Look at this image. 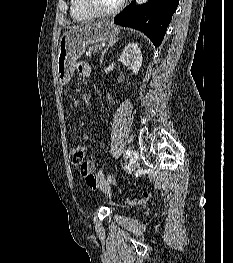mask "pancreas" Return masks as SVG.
<instances>
[{
  "mask_svg": "<svg viewBox=\"0 0 233 263\" xmlns=\"http://www.w3.org/2000/svg\"><path fill=\"white\" fill-rule=\"evenodd\" d=\"M100 48V46L98 45H94V46H90V51L96 52L98 49Z\"/></svg>",
  "mask_w": 233,
  "mask_h": 263,
  "instance_id": "pancreas-1",
  "label": "pancreas"
}]
</instances>
